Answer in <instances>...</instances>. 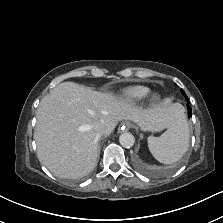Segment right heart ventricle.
I'll return each instance as SVG.
<instances>
[{
  "label": "right heart ventricle",
  "mask_w": 223,
  "mask_h": 223,
  "mask_svg": "<svg viewBox=\"0 0 223 223\" xmlns=\"http://www.w3.org/2000/svg\"><path fill=\"white\" fill-rule=\"evenodd\" d=\"M150 94V88L142 85L130 86L122 90L121 97L131 103L144 100Z\"/></svg>",
  "instance_id": "e07e8e85"
}]
</instances>
